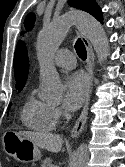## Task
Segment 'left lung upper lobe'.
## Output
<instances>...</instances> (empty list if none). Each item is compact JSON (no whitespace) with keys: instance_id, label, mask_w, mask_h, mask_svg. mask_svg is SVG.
<instances>
[{"instance_id":"left-lung-upper-lobe-1","label":"left lung upper lobe","mask_w":125,"mask_h":167,"mask_svg":"<svg viewBox=\"0 0 125 167\" xmlns=\"http://www.w3.org/2000/svg\"><path fill=\"white\" fill-rule=\"evenodd\" d=\"M68 4L74 8L90 13L100 21L102 20L101 9L96 5L94 0H68ZM34 20L35 15L32 13L28 14L24 21V25L27 30H30L33 27Z\"/></svg>"}]
</instances>
